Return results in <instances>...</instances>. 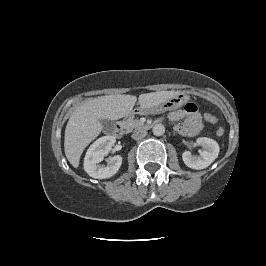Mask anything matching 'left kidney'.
<instances>
[{
    "label": "left kidney",
    "mask_w": 266,
    "mask_h": 266,
    "mask_svg": "<svg viewBox=\"0 0 266 266\" xmlns=\"http://www.w3.org/2000/svg\"><path fill=\"white\" fill-rule=\"evenodd\" d=\"M196 142L204 148L200 155L193 156L191 152L185 151L182 159L189 168L200 170L208 167L218 157L219 145L215 140L206 137H200Z\"/></svg>",
    "instance_id": "obj_1"
}]
</instances>
